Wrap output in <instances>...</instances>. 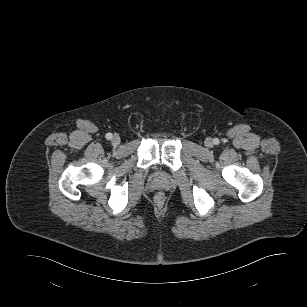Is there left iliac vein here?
I'll use <instances>...</instances> for the list:
<instances>
[{"instance_id": "1", "label": "left iliac vein", "mask_w": 307, "mask_h": 307, "mask_svg": "<svg viewBox=\"0 0 307 307\" xmlns=\"http://www.w3.org/2000/svg\"><path fill=\"white\" fill-rule=\"evenodd\" d=\"M211 144H212V141H211L210 139H207V140H206V145H207V146H210Z\"/></svg>"}]
</instances>
